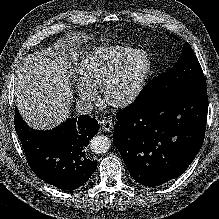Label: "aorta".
I'll return each instance as SVG.
<instances>
[{
  "instance_id": "762f6f07",
  "label": "aorta",
  "mask_w": 219,
  "mask_h": 219,
  "mask_svg": "<svg viewBox=\"0 0 219 219\" xmlns=\"http://www.w3.org/2000/svg\"><path fill=\"white\" fill-rule=\"evenodd\" d=\"M89 146L94 153L102 154L110 149L111 141L104 135H97L90 140Z\"/></svg>"
}]
</instances>
